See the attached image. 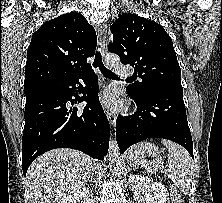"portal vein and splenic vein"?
I'll list each match as a JSON object with an SVG mask.
<instances>
[{
  "label": "portal vein and splenic vein",
  "mask_w": 222,
  "mask_h": 203,
  "mask_svg": "<svg viewBox=\"0 0 222 203\" xmlns=\"http://www.w3.org/2000/svg\"><path fill=\"white\" fill-rule=\"evenodd\" d=\"M161 164H163V162H162V161H158V162L156 163L155 168L153 169V171H156L157 168H158ZM148 170L150 171L151 168H148Z\"/></svg>",
  "instance_id": "obj_1"
}]
</instances>
